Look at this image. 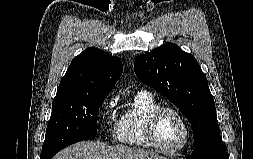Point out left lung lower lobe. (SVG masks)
Returning a JSON list of instances; mask_svg holds the SVG:
<instances>
[{
    "label": "left lung lower lobe",
    "mask_w": 253,
    "mask_h": 159,
    "mask_svg": "<svg viewBox=\"0 0 253 159\" xmlns=\"http://www.w3.org/2000/svg\"><path fill=\"white\" fill-rule=\"evenodd\" d=\"M187 159H195L193 155L188 156ZM211 159H228L225 147L222 146L217 149L215 155Z\"/></svg>",
    "instance_id": "0a47b994"
}]
</instances>
